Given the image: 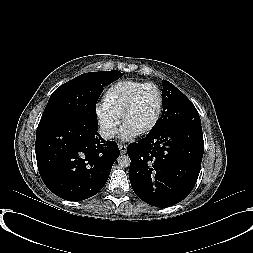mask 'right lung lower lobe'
<instances>
[{"label": "right lung lower lobe", "instance_id": "obj_1", "mask_svg": "<svg viewBox=\"0 0 253 253\" xmlns=\"http://www.w3.org/2000/svg\"><path fill=\"white\" fill-rule=\"evenodd\" d=\"M98 124L71 119L37 129L35 152L40 176L62 199L81 201L106 184L120 155L114 141H105Z\"/></svg>", "mask_w": 253, "mask_h": 253}]
</instances>
